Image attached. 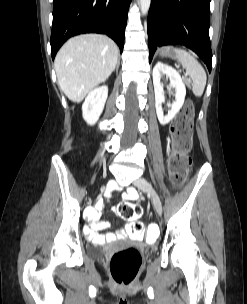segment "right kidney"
<instances>
[{
    "mask_svg": "<svg viewBox=\"0 0 247 304\" xmlns=\"http://www.w3.org/2000/svg\"><path fill=\"white\" fill-rule=\"evenodd\" d=\"M107 97L108 87L106 85L95 88L87 95L82 105V115L89 125H94L98 121Z\"/></svg>",
    "mask_w": 247,
    "mask_h": 304,
    "instance_id": "right-kidney-1",
    "label": "right kidney"
}]
</instances>
